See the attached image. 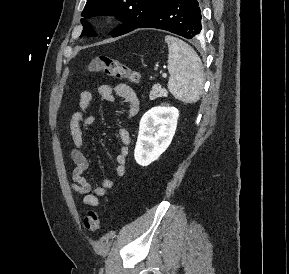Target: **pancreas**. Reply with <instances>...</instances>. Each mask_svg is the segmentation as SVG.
I'll return each instance as SVG.
<instances>
[{"label":"pancreas","mask_w":289,"mask_h":274,"mask_svg":"<svg viewBox=\"0 0 289 274\" xmlns=\"http://www.w3.org/2000/svg\"><path fill=\"white\" fill-rule=\"evenodd\" d=\"M167 95H168L167 90L162 88L159 84H156L152 87L149 98L150 100H154L159 97H167Z\"/></svg>","instance_id":"obj_1"}]
</instances>
